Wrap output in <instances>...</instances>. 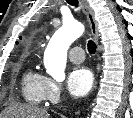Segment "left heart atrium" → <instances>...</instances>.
<instances>
[{
  "mask_svg": "<svg viewBox=\"0 0 133 118\" xmlns=\"http://www.w3.org/2000/svg\"><path fill=\"white\" fill-rule=\"evenodd\" d=\"M93 82L92 72L88 68L80 66L75 67L69 74L67 87L74 97H83L90 92Z\"/></svg>",
  "mask_w": 133,
  "mask_h": 118,
  "instance_id": "left-heart-atrium-1",
  "label": "left heart atrium"
}]
</instances>
